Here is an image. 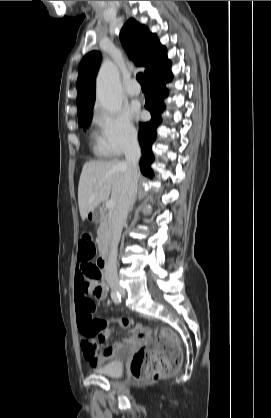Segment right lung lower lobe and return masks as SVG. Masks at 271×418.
<instances>
[{
	"label": "right lung lower lobe",
	"instance_id": "98d812e1",
	"mask_svg": "<svg viewBox=\"0 0 271 418\" xmlns=\"http://www.w3.org/2000/svg\"><path fill=\"white\" fill-rule=\"evenodd\" d=\"M170 66L171 63L168 61L165 65L145 77L147 87L145 108L150 111L152 116L149 122L140 123L139 125V143L143 151V156L140 160V169L145 176H151L153 174L150 168L154 160L151 145L156 140V129L161 123V112L165 108L163 103V99L167 96L165 84L172 79Z\"/></svg>",
	"mask_w": 271,
	"mask_h": 418
}]
</instances>
